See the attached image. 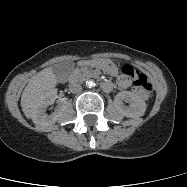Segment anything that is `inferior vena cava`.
Returning <instances> with one entry per match:
<instances>
[{
  "label": "inferior vena cava",
  "mask_w": 187,
  "mask_h": 187,
  "mask_svg": "<svg viewBox=\"0 0 187 187\" xmlns=\"http://www.w3.org/2000/svg\"><path fill=\"white\" fill-rule=\"evenodd\" d=\"M69 90L72 93H80L82 91V86L80 83L72 82L69 85Z\"/></svg>",
  "instance_id": "1"
}]
</instances>
